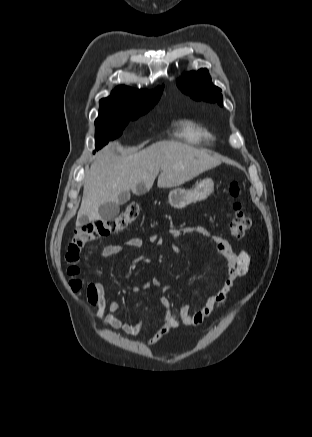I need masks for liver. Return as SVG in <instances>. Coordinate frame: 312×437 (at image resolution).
Here are the masks:
<instances>
[{
  "label": "liver",
  "instance_id": "1",
  "mask_svg": "<svg viewBox=\"0 0 312 437\" xmlns=\"http://www.w3.org/2000/svg\"><path fill=\"white\" fill-rule=\"evenodd\" d=\"M221 164L218 156L177 141H160L131 154H116V143L108 144L95 157L86 175L83 198L77 215L76 226L99 219V207L107 202H117L121 192L137 186L148 192L159 174V188L176 187L199 174Z\"/></svg>",
  "mask_w": 312,
  "mask_h": 437
}]
</instances>
